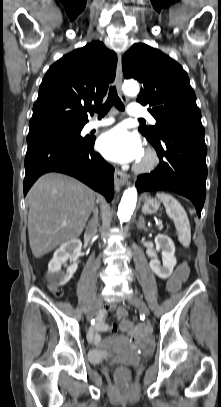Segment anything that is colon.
<instances>
[{
    "label": "colon",
    "instance_id": "colon-1",
    "mask_svg": "<svg viewBox=\"0 0 221 407\" xmlns=\"http://www.w3.org/2000/svg\"><path fill=\"white\" fill-rule=\"evenodd\" d=\"M191 268L187 260H182L180 265H175L173 275H170L169 282L166 283L167 291H178L181 284L188 283V277L190 274ZM57 297L63 296V291H52ZM117 313L118 328L120 330H129L130 337L132 340H137L143 335V329L134 328L136 325L131 321L130 315L128 314L127 308L125 305H117L115 308ZM128 369L125 367H118L116 370V376L120 383H125L128 380Z\"/></svg>",
    "mask_w": 221,
    "mask_h": 407
}]
</instances>
